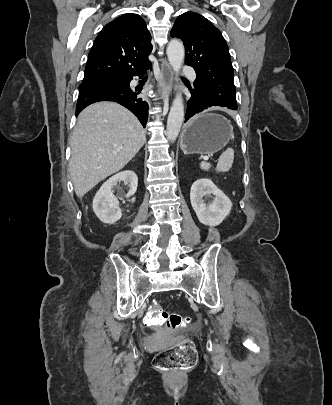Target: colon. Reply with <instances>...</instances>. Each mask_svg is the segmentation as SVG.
<instances>
[{"label":"colon","instance_id":"1","mask_svg":"<svg viewBox=\"0 0 332 405\" xmlns=\"http://www.w3.org/2000/svg\"><path fill=\"white\" fill-rule=\"evenodd\" d=\"M192 324L190 316L170 313L163 307L156 305L150 307L145 316L147 328L160 327L165 325L169 331L187 328ZM197 361V354L194 343L190 339L184 340L181 344L159 351L153 360L154 366L164 371H186L194 367Z\"/></svg>","mask_w":332,"mask_h":405}]
</instances>
